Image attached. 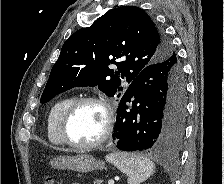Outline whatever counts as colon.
I'll return each mask as SVG.
<instances>
[{
	"mask_svg": "<svg viewBox=\"0 0 224 184\" xmlns=\"http://www.w3.org/2000/svg\"><path fill=\"white\" fill-rule=\"evenodd\" d=\"M43 184H54V183H53V180L51 178L47 177V178L44 179Z\"/></svg>",
	"mask_w": 224,
	"mask_h": 184,
	"instance_id": "5ec220e1",
	"label": "colon"
}]
</instances>
